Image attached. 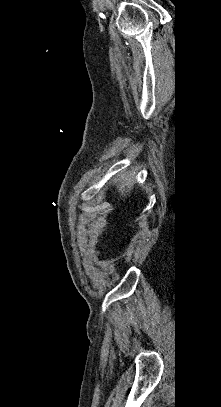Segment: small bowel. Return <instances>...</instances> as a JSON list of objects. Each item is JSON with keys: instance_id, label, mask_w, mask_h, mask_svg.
Here are the masks:
<instances>
[{"instance_id": "obj_1", "label": "small bowel", "mask_w": 221, "mask_h": 407, "mask_svg": "<svg viewBox=\"0 0 221 407\" xmlns=\"http://www.w3.org/2000/svg\"><path fill=\"white\" fill-rule=\"evenodd\" d=\"M99 255V252H97L96 254H95V256H98Z\"/></svg>"}]
</instances>
